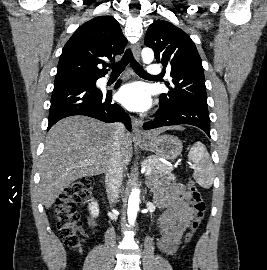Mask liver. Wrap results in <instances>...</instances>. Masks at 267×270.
Instances as JSON below:
<instances>
[{"label": "liver", "instance_id": "1", "mask_svg": "<svg viewBox=\"0 0 267 270\" xmlns=\"http://www.w3.org/2000/svg\"><path fill=\"white\" fill-rule=\"evenodd\" d=\"M161 128L146 136H157ZM113 126L86 116H71L57 122L48 132L40 160V193L49 209L66 187L74 181L107 172L114 152ZM122 167L132 158V137L120 140Z\"/></svg>", "mask_w": 267, "mask_h": 270}]
</instances>
